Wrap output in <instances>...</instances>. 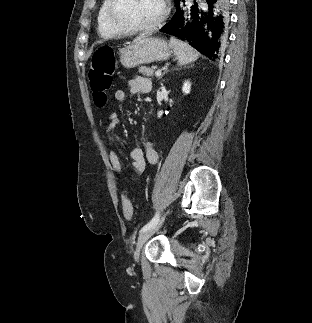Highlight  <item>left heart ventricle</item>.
<instances>
[{
    "mask_svg": "<svg viewBox=\"0 0 312 323\" xmlns=\"http://www.w3.org/2000/svg\"><path fill=\"white\" fill-rule=\"evenodd\" d=\"M115 18H127L128 22H149L155 14H163L162 0H116Z\"/></svg>",
    "mask_w": 312,
    "mask_h": 323,
    "instance_id": "left-heart-ventricle-1",
    "label": "left heart ventricle"
}]
</instances>
